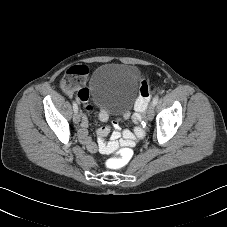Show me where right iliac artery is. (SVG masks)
I'll list each match as a JSON object with an SVG mask.
<instances>
[{
	"instance_id": "obj_1",
	"label": "right iliac artery",
	"mask_w": 227,
	"mask_h": 227,
	"mask_svg": "<svg viewBox=\"0 0 227 227\" xmlns=\"http://www.w3.org/2000/svg\"><path fill=\"white\" fill-rule=\"evenodd\" d=\"M73 110L75 113L78 111V106H77L76 102H73Z\"/></svg>"
}]
</instances>
